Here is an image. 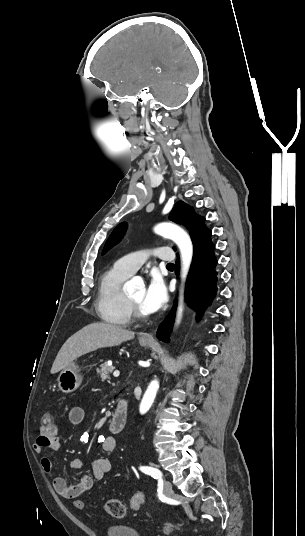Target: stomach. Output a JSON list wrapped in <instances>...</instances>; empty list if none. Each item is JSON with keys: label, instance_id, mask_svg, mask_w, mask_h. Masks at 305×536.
Returning a JSON list of instances; mask_svg holds the SVG:
<instances>
[{"label": "stomach", "instance_id": "0dacf381", "mask_svg": "<svg viewBox=\"0 0 305 536\" xmlns=\"http://www.w3.org/2000/svg\"><path fill=\"white\" fill-rule=\"evenodd\" d=\"M140 344L141 346H147V344H149V340H140ZM57 382L58 388L61 390V392H65V394L75 392L82 382L79 366H76L74 362H71L67 368H64V370L60 372Z\"/></svg>", "mask_w": 305, "mask_h": 536}]
</instances>
